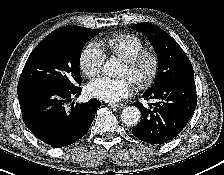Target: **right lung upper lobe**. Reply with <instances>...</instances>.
Returning a JSON list of instances; mask_svg holds the SVG:
<instances>
[{
    "label": "right lung upper lobe",
    "instance_id": "1",
    "mask_svg": "<svg viewBox=\"0 0 224 175\" xmlns=\"http://www.w3.org/2000/svg\"><path fill=\"white\" fill-rule=\"evenodd\" d=\"M79 26H75V25H70V26H64L61 27L55 31L52 32V34H60V33H67L73 30H76Z\"/></svg>",
    "mask_w": 224,
    "mask_h": 175
}]
</instances>
